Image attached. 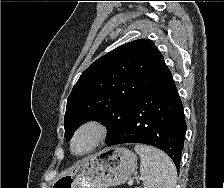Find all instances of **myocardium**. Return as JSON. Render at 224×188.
<instances>
[{
  "instance_id": "myocardium-1",
  "label": "myocardium",
  "mask_w": 224,
  "mask_h": 188,
  "mask_svg": "<svg viewBox=\"0 0 224 188\" xmlns=\"http://www.w3.org/2000/svg\"><path fill=\"white\" fill-rule=\"evenodd\" d=\"M92 130L95 134L94 141L92 144L83 152L77 153L74 151V143L79 134L83 131ZM109 133V127L106 122L98 118H92L81 123L74 131L70 140V150L76 156H83L92 151H94L98 146H100Z\"/></svg>"
}]
</instances>
